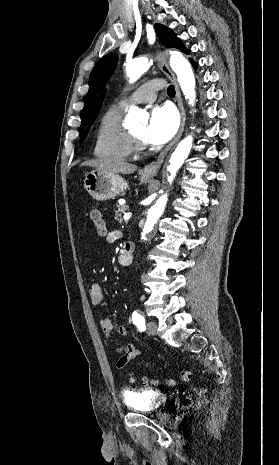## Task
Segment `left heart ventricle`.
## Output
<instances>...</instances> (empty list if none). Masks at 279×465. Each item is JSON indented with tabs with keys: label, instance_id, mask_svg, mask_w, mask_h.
Wrapping results in <instances>:
<instances>
[{
	"label": "left heart ventricle",
	"instance_id": "left-heart-ventricle-1",
	"mask_svg": "<svg viewBox=\"0 0 279 465\" xmlns=\"http://www.w3.org/2000/svg\"><path fill=\"white\" fill-rule=\"evenodd\" d=\"M144 131H145V125H141V126H138L132 129V132L143 140H144Z\"/></svg>",
	"mask_w": 279,
	"mask_h": 465
}]
</instances>
